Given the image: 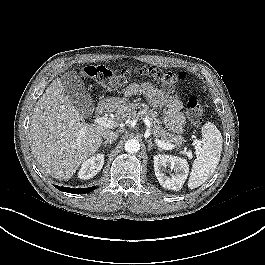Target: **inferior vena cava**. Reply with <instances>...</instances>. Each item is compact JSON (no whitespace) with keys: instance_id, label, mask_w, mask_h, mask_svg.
<instances>
[{"instance_id":"1","label":"inferior vena cava","mask_w":265,"mask_h":265,"mask_svg":"<svg viewBox=\"0 0 265 265\" xmlns=\"http://www.w3.org/2000/svg\"><path fill=\"white\" fill-rule=\"evenodd\" d=\"M102 136L107 139V140H115L117 139L118 137V133L117 132H113V131H107V132H104L102 134Z\"/></svg>"}]
</instances>
